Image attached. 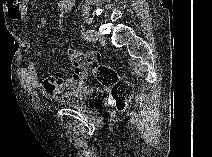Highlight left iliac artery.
I'll use <instances>...</instances> for the list:
<instances>
[{
	"label": "left iliac artery",
	"mask_w": 212,
	"mask_h": 157,
	"mask_svg": "<svg viewBox=\"0 0 212 157\" xmlns=\"http://www.w3.org/2000/svg\"><path fill=\"white\" fill-rule=\"evenodd\" d=\"M85 39L89 40V41H92V40H95V37H94V30H86L84 33H83Z\"/></svg>",
	"instance_id": "left-iliac-artery-1"
}]
</instances>
